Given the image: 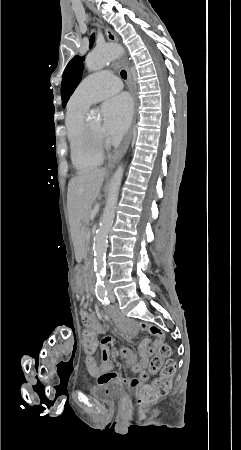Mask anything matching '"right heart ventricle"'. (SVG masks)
Masks as SVG:
<instances>
[{"mask_svg": "<svg viewBox=\"0 0 241 450\" xmlns=\"http://www.w3.org/2000/svg\"><path fill=\"white\" fill-rule=\"evenodd\" d=\"M88 106L89 105H87L86 103L71 100L70 104L68 105L66 114L65 124L68 140L70 143L71 158L73 164L78 169L98 166L103 160V157H95V152H97V150L92 149L94 151H87L86 149H84V151L83 149L79 148V145L81 143H79L77 139L82 135V133L79 132V127L84 124L86 128V125L90 124L89 120L86 121L84 119V115Z\"/></svg>", "mask_w": 241, "mask_h": 450, "instance_id": "right-heart-ventricle-1", "label": "right heart ventricle"}]
</instances>
